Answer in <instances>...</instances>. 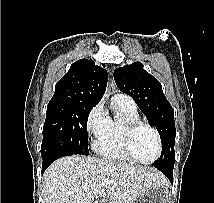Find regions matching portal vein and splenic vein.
I'll return each instance as SVG.
<instances>
[{
	"mask_svg": "<svg viewBox=\"0 0 214 203\" xmlns=\"http://www.w3.org/2000/svg\"><path fill=\"white\" fill-rule=\"evenodd\" d=\"M111 183H112V181L106 180V181H102V182H101V185L107 187V186H109Z\"/></svg>",
	"mask_w": 214,
	"mask_h": 203,
	"instance_id": "obj_1",
	"label": "portal vein and splenic vein"
}]
</instances>
